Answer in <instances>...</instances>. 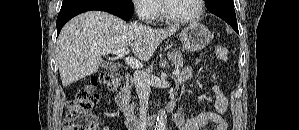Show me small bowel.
<instances>
[{
    "label": "small bowel",
    "mask_w": 299,
    "mask_h": 130,
    "mask_svg": "<svg viewBox=\"0 0 299 130\" xmlns=\"http://www.w3.org/2000/svg\"><path fill=\"white\" fill-rule=\"evenodd\" d=\"M192 75L193 68L186 67L179 75L178 80L180 82L187 81ZM212 92L214 95V111L202 112L189 119L184 118L181 114H176L174 121L179 130H199L209 123H214L216 125L215 130H227L228 124L222 115L227 110L228 101L218 85H212ZM106 128H108V126H106Z\"/></svg>",
    "instance_id": "c3829d8e"
}]
</instances>
